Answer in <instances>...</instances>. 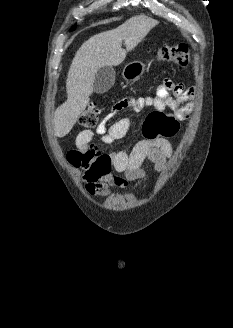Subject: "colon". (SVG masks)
<instances>
[{
	"label": "colon",
	"mask_w": 233,
	"mask_h": 328,
	"mask_svg": "<svg viewBox=\"0 0 233 328\" xmlns=\"http://www.w3.org/2000/svg\"><path fill=\"white\" fill-rule=\"evenodd\" d=\"M158 55L162 60L180 67H186L192 62V54L187 45L164 46L158 51ZM101 112V107L92 103L80 115L79 123L87 129H92L97 125ZM178 130V118L158 110L147 115L142 127L143 136L148 141L172 137ZM67 158L73 166L85 171L83 178L89 188L95 187L111 169V157L97 144H87L73 149L68 152Z\"/></svg>",
	"instance_id": "5ec220e1"
}]
</instances>
